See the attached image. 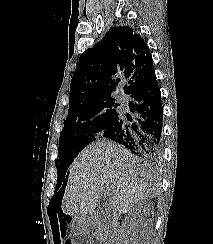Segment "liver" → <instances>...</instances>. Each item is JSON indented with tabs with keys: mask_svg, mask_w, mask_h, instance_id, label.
Masks as SVG:
<instances>
[{
	"mask_svg": "<svg viewBox=\"0 0 213 244\" xmlns=\"http://www.w3.org/2000/svg\"><path fill=\"white\" fill-rule=\"evenodd\" d=\"M62 200L65 214L85 219L94 213L101 191L111 195L112 216L117 219L142 199L160 193L156 173L124 147L110 141L87 146L69 171Z\"/></svg>",
	"mask_w": 213,
	"mask_h": 244,
	"instance_id": "6515ba94",
	"label": "liver"
}]
</instances>
